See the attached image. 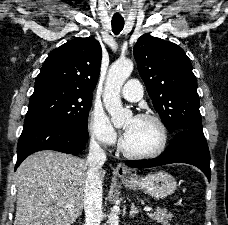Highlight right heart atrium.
<instances>
[{
  "instance_id": "1",
  "label": "right heart atrium",
  "mask_w": 228,
  "mask_h": 225,
  "mask_svg": "<svg viewBox=\"0 0 228 225\" xmlns=\"http://www.w3.org/2000/svg\"><path fill=\"white\" fill-rule=\"evenodd\" d=\"M87 129L92 140L102 146H112L117 141V134L105 112L94 106L88 115Z\"/></svg>"
}]
</instances>
